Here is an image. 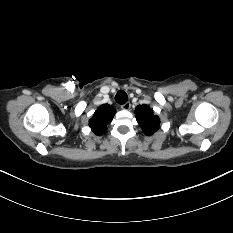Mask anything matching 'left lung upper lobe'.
<instances>
[{"instance_id": "5c2ea615", "label": "left lung upper lobe", "mask_w": 233, "mask_h": 233, "mask_svg": "<svg viewBox=\"0 0 233 233\" xmlns=\"http://www.w3.org/2000/svg\"><path fill=\"white\" fill-rule=\"evenodd\" d=\"M136 119L146 135H152L159 129L160 120L147 105L136 107Z\"/></svg>"}]
</instances>
